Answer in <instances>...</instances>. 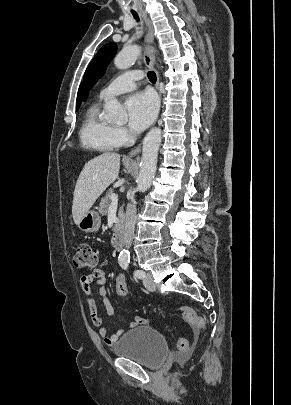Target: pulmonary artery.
<instances>
[{
    "label": "pulmonary artery",
    "instance_id": "pulmonary-artery-1",
    "mask_svg": "<svg viewBox=\"0 0 291 405\" xmlns=\"http://www.w3.org/2000/svg\"><path fill=\"white\" fill-rule=\"evenodd\" d=\"M142 78L140 71L125 72L113 79L99 94L100 99H108L119 94L134 90L136 82Z\"/></svg>",
    "mask_w": 291,
    "mask_h": 405
}]
</instances>
